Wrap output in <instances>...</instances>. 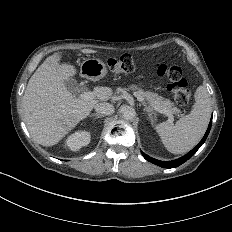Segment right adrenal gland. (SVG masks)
I'll use <instances>...</instances> for the list:
<instances>
[{
    "label": "right adrenal gland",
    "instance_id": "2a0ac1e0",
    "mask_svg": "<svg viewBox=\"0 0 232 232\" xmlns=\"http://www.w3.org/2000/svg\"><path fill=\"white\" fill-rule=\"evenodd\" d=\"M91 116H94V118H93L92 121H91L92 124L94 123V121H95L96 119L104 117L103 115H100V114H98V113H96V114H90L89 117H91Z\"/></svg>",
    "mask_w": 232,
    "mask_h": 232
}]
</instances>
